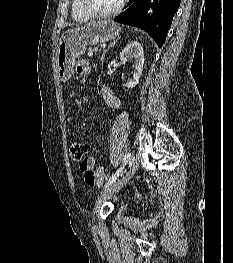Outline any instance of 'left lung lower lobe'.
I'll return each instance as SVG.
<instances>
[{"instance_id":"obj_1","label":"left lung lower lobe","mask_w":233,"mask_h":263,"mask_svg":"<svg viewBox=\"0 0 233 263\" xmlns=\"http://www.w3.org/2000/svg\"><path fill=\"white\" fill-rule=\"evenodd\" d=\"M180 2L181 0H130L127 8L114 20L145 30L158 47H161Z\"/></svg>"}]
</instances>
